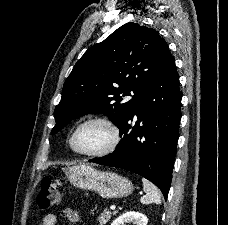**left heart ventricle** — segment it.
Here are the masks:
<instances>
[{
  "label": "left heart ventricle",
  "mask_w": 228,
  "mask_h": 225,
  "mask_svg": "<svg viewBox=\"0 0 228 225\" xmlns=\"http://www.w3.org/2000/svg\"><path fill=\"white\" fill-rule=\"evenodd\" d=\"M110 141L107 129L96 123L82 127L73 137V147L80 151L104 149Z\"/></svg>",
  "instance_id": "1"
}]
</instances>
